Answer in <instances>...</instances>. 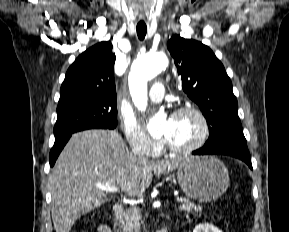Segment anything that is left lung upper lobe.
<instances>
[{"mask_svg": "<svg viewBox=\"0 0 289 232\" xmlns=\"http://www.w3.org/2000/svg\"><path fill=\"white\" fill-rule=\"evenodd\" d=\"M167 48L175 60L184 92L199 105L208 122L209 138L203 147L246 143L231 80L212 50L180 35L173 36Z\"/></svg>", "mask_w": 289, "mask_h": 232, "instance_id": "obj_1", "label": "left lung upper lobe"}]
</instances>
